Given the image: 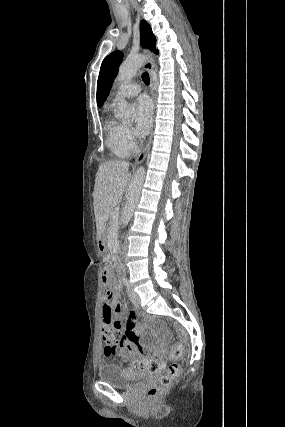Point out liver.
I'll return each mask as SVG.
<instances>
[{"mask_svg":"<svg viewBox=\"0 0 285 427\" xmlns=\"http://www.w3.org/2000/svg\"><path fill=\"white\" fill-rule=\"evenodd\" d=\"M129 177L128 162L111 161L99 166L93 193L98 235L104 233L110 213L120 203Z\"/></svg>","mask_w":285,"mask_h":427,"instance_id":"6515ba94","label":"liver"}]
</instances>
